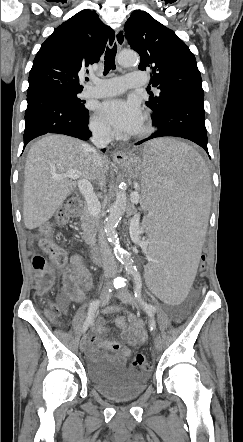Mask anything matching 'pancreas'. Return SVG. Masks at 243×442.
Masks as SVG:
<instances>
[{
  "instance_id": "pancreas-1",
  "label": "pancreas",
  "mask_w": 243,
  "mask_h": 442,
  "mask_svg": "<svg viewBox=\"0 0 243 442\" xmlns=\"http://www.w3.org/2000/svg\"><path fill=\"white\" fill-rule=\"evenodd\" d=\"M81 235L85 242L89 245L95 244V236L99 227L98 217L93 216L87 207H85L80 216Z\"/></svg>"
}]
</instances>
